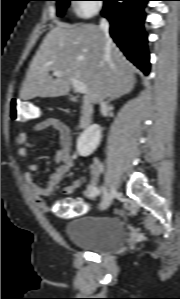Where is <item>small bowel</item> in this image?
Instances as JSON below:
<instances>
[{
	"mask_svg": "<svg viewBox=\"0 0 180 299\" xmlns=\"http://www.w3.org/2000/svg\"><path fill=\"white\" fill-rule=\"evenodd\" d=\"M43 131H50L58 135L60 146L54 156V159L57 163V168L50 175L45 184L38 185L35 183L33 178V173L38 170V165L34 162L28 161L26 163L27 171L24 173V179L29 196L34 200L41 210L44 212H50L53 210V207L47 204L44 198L61 183L64 175L74 165V159L71 153L70 129L63 120L57 117H48L37 122L31 128V132L33 133H40ZM16 144L20 146L17 150L18 156L23 160H27L29 157L27 148L34 147L35 145L27 143L26 133H19L17 135ZM102 169V164L97 160L91 164V173L95 179L100 175ZM81 184V179L74 178L70 180V182L63 188V193L65 195H71L81 186ZM96 194V184L95 182H92L85 191V196L87 198H94ZM54 207L56 208V204Z\"/></svg>",
	"mask_w": 180,
	"mask_h": 299,
	"instance_id": "small-bowel-1",
	"label": "small bowel"
}]
</instances>
